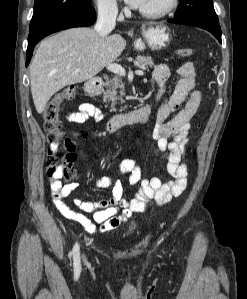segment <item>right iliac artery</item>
<instances>
[{
	"label": "right iliac artery",
	"mask_w": 247,
	"mask_h": 299,
	"mask_svg": "<svg viewBox=\"0 0 247 299\" xmlns=\"http://www.w3.org/2000/svg\"><path fill=\"white\" fill-rule=\"evenodd\" d=\"M73 254V260H74V268L75 271L78 273L81 269V264H80V251H79V244L76 243L73 247L72 250Z\"/></svg>",
	"instance_id": "82829eb1"
}]
</instances>
